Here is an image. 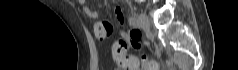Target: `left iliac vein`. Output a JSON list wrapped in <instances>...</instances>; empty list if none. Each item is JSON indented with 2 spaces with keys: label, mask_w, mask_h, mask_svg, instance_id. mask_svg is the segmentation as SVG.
I'll return each instance as SVG.
<instances>
[{
  "label": "left iliac vein",
  "mask_w": 238,
  "mask_h": 70,
  "mask_svg": "<svg viewBox=\"0 0 238 70\" xmlns=\"http://www.w3.org/2000/svg\"><path fill=\"white\" fill-rule=\"evenodd\" d=\"M137 20H138V26L141 27L142 29L146 30L149 28L150 26V21L148 19V16L145 13H140L137 16Z\"/></svg>",
  "instance_id": "1"
}]
</instances>
